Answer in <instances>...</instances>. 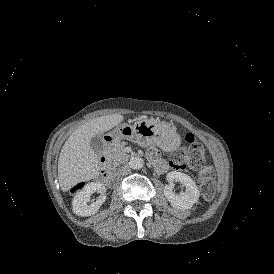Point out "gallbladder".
I'll return each instance as SVG.
<instances>
[{
	"instance_id": "obj_1",
	"label": "gallbladder",
	"mask_w": 274,
	"mask_h": 274,
	"mask_svg": "<svg viewBox=\"0 0 274 274\" xmlns=\"http://www.w3.org/2000/svg\"><path fill=\"white\" fill-rule=\"evenodd\" d=\"M89 144L95 153L102 152L103 151V136L100 133L94 135L90 139Z\"/></svg>"
}]
</instances>
